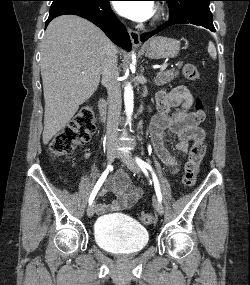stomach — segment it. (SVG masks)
Here are the masks:
<instances>
[{
    "instance_id": "stomach-1",
    "label": "stomach",
    "mask_w": 250,
    "mask_h": 285,
    "mask_svg": "<svg viewBox=\"0 0 250 285\" xmlns=\"http://www.w3.org/2000/svg\"><path fill=\"white\" fill-rule=\"evenodd\" d=\"M146 57L162 59L176 57L180 51V42L176 39L157 36L143 47Z\"/></svg>"
}]
</instances>
